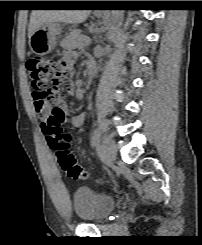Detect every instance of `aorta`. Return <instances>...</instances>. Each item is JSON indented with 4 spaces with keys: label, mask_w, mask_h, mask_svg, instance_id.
<instances>
[{
    "label": "aorta",
    "mask_w": 202,
    "mask_h": 245,
    "mask_svg": "<svg viewBox=\"0 0 202 245\" xmlns=\"http://www.w3.org/2000/svg\"><path fill=\"white\" fill-rule=\"evenodd\" d=\"M124 17V10H112L109 19L108 39L112 38L113 33L120 27Z\"/></svg>",
    "instance_id": "762f6f07"
}]
</instances>
